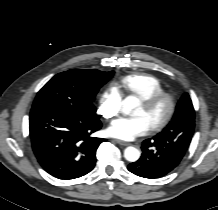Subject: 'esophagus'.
Wrapping results in <instances>:
<instances>
[{"mask_svg":"<svg viewBox=\"0 0 218 210\" xmlns=\"http://www.w3.org/2000/svg\"><path fill=\"white\" fill-rule=\"evenodd\" d=\"M115 142L118 143L119 145H122V146H129L130 145V143L122 141V140H115Z\"/></svg>","mask_w":218,"mask_h":210,"instance_id":"esophagus-1","label":"esophagus"}]
</instances>
